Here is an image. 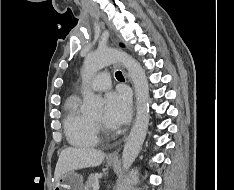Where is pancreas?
<instances>
[{
    "label": "pancreas",
    "mask_w": 234,
    "mask_h": 190,
    "mask_svg": "<svg viewBox=\"0 0 234 190\" xmlns=\"http://www.w3.org/2000/svg\"><path fill=\"white\" fill-rule=\"evenodd\" d=\"M97 182H98V175L90 174L85 184V190H90L91 187H93V185L96 184Z\"/></svg>",
    "instance_id": "pancreas-1"
}]
</instances>
